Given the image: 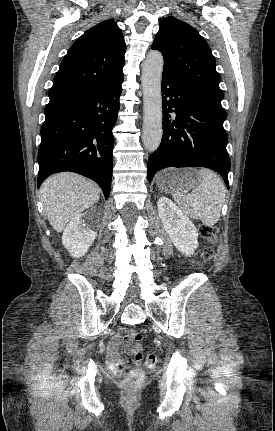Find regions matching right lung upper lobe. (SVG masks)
Wrapping results in <instances>:
<instances>
[{"label": "right lung upper lobe", "mask_w": 275, "mask_h": 431, "mask_svg": "<svg viewBox=\"0 0 275 431\" xmlns=\"http://www.w3.org/2000/svg\"><path fill=\"white\" fill-rule=\"evenodd\" d=\"M125 52L121 29L113 20L90 28L63 58L49 98L103 89L123 80Z\"/></svg>", "instance_id": "right-lung-upper-lobe-1"}]
</instances>
